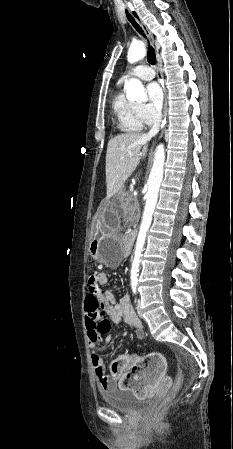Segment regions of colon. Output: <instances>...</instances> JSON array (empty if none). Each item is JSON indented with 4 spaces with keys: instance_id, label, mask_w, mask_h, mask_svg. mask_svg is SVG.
<instances>
[{
    "instance_id": "1",
    "label": "colon",
    "mask_w": 233,
    "mask_h": 449,
    "mask_svg": "<svg viewBox=\"0 0 233 449\" xmlns=\"http://www.w3.org/2000/svg\"><path fill=\"white\" fill-rule=\"evenodd\" d=\"M98 296H90V293L87 294V297L82 298V305L84 306V314H83V323H86L87 328H97V331L99 334H105V336H110V324L108 320V315L106 310H103L102 307H100L99 302L97 301ZM148 361H143L142 363L145 364ZM128 370V375L131 376L134 371L136 370V367L128 363L126 365ZM183 378L182 375L179 373L172 384L170 391L166 397V399L161 403L157 411L154 413V415L159 414L171 401V399L178 393L182 386ZM121 387L122 388H130V379L127 377L121 381Z\"/></svg>"
}]
</instances>
